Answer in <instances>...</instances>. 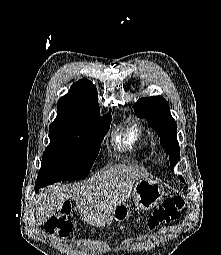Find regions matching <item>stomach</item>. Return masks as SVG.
Returning a JSON list of instances; mask_svg holds the SVG:
<instances>
[{"mask_svg": "<svg viewBox=\"0 0 221 255\" xmlns=\"http://www.w3.org/2000/svg\"><path fill=\"white\" fill-rule=\"evenodd\" d=\"M164 194V188L149 178L137 181L132 192L135 207L143 211L157 206L163 200ZM130 213L131 204L123 202L114 208L112 218L116 222H123L129 218Z\"/></svg>", "mask_w": 221, "mask_h": 255, "instance_id": "0dacf381", "label": "stomach"}]
</instances>
